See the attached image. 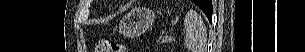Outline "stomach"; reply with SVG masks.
Segmentation results:
<instances>
[{
    "label": "stomach",
    "mask_w": 305,
    "mask_h": 52,
    "mask_svg": "<svg viewBox=\"0 0 305 52\" xmlns=\"http://www.w3.org/2000/svg\"><path fill=\"white\" fill-rule=\"evenodd\" d=\"M168 13L170 12L168 11ZM155 18L156 15L152 10L138 7L122 18L119 29L126 36H138L152 26Z\"/></svg>",
    "instance_id": "stomach-1"
}]
</instances>
